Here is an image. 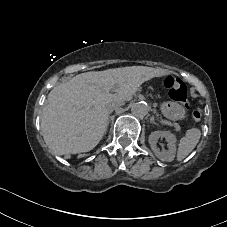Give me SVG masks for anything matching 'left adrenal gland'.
Returning a JSON list of instances; mask_svg holds the SVG:
<instances>
[{
	"label": "left adrenal gland",
	"instance_id": "left-adrenal-gland-1",
	"mask_svg": "<svg viewBox=\"0 0 227 227\" xmlns=\"http://www.w3.org/2000/svg\"><path fill=\"white\" fill-rule=\"evenodd\" d=\"M150 122H151L152 124L158 126V124H157V123L155 122V120H154V117H151V118H150Z\"/></svg>",
	"mask_w": 227,
	"mask_h": 227
}]
</instances>
